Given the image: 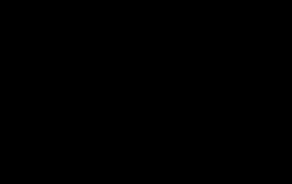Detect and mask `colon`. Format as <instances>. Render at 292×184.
<instances>
[{
  "instance_id": "5ec220e1",
  "label": "colon",
  "mask_w": 292,
  "mask_h": 184,
  "mask_svg": "<svg viewBox=\"0 0 292 184\" xmlns=\"http://www.w3.org/2000/svg\"><path fill=\"white\" fill-rule=\"evenodd\" d=\"M224 64H222L221 68H219V70L217 71V77L218 78H224L226 77V75L228 74L229 71V66L228 64H226V62H223Z\"/></svg>"
}]
</instances>
